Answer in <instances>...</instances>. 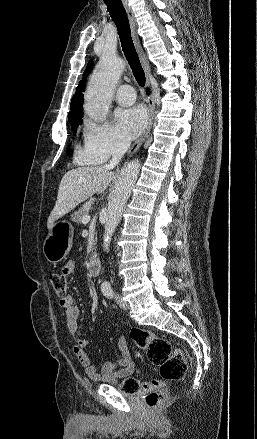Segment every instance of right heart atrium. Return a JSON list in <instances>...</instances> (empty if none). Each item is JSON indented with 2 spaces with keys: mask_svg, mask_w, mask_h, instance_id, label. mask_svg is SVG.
Wrapping results in <instances>:
<instances>
[{
  "mask_svg": "<svg viewBox=\"0 0 257 439\" xmlns=\"http://www.w3.org/2000/svg\"><path fill=\"white\" fill-rule=\"evenodd\" d=\"M127 140L111 122L86 120L83 125V146L78 159L87 163H102L123 153Z\"/></svg>",
  "mask_w": 257,
  "mask_h": 439,
  "instance_id": "1",
  "label": "right heart atrium"
}]
</instances>
